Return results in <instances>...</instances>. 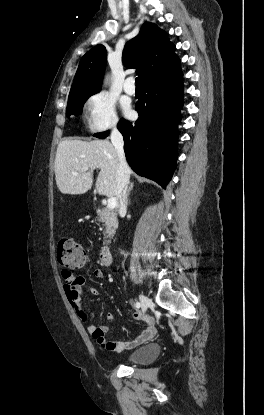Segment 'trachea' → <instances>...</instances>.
<instances>
[{"mask_svg":"<svg viewBox=\"0 0 264 415\" xmlns=\"http://www.w3.org/2000/svg\"><path fill=\"white\" fill-rule=\"evenodd\" d=\"M135 83H136V87H141V81H140V78L139 77H137L135 79Z\"/></svg>","mask_w":264,"mask_h":415,"instance_id":"1","label":"trachea"}]
</instances>
